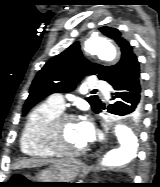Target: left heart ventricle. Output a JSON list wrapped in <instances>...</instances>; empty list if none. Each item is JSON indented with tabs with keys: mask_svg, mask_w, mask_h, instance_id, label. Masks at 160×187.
Returning a JSON list of instances; mask_svg holds the SVG:
<instances>
[{
	"mask_svg": "<svg viewBox=\"0 0 160 187\" xmlns=\"http://www.w3.org/2000/svg\"><path fill=\"white\" fill-rule=\"evenodd\" d=\"M79 121L67 120L62 125V144L66 150L76 151L86 145L79 130Z\"/></svg>",
	"mask_w": 160,
	"mask_h": 187,
	"instance_id": "left-heart-ventricle-1",
	"label": "left heart ventricle"
}]
</instances>
